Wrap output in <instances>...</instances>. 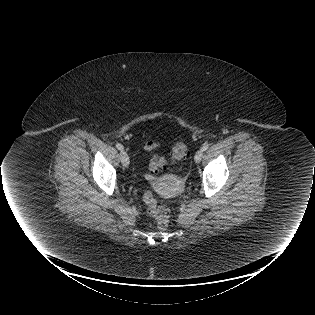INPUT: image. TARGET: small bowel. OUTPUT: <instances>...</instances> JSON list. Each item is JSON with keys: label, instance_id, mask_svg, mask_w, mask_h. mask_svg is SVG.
Here are the masks:
<instances>
[{"label": "small bowel", "instance_id": "small-bowel-1", "mask_svg": "<svg viewBox=\"0 0 315 315\" xmlns=\"http://www.w3.org/2000/svg\"><path fill=\"white\" fill-rule=\"evenodd\" d=\"M160 146V142L154 141L151 137H147L144 140L143 148L145 151H152Z\"/></svg>", "mask_w": 315, "mask_h": 315}]
</instances>
